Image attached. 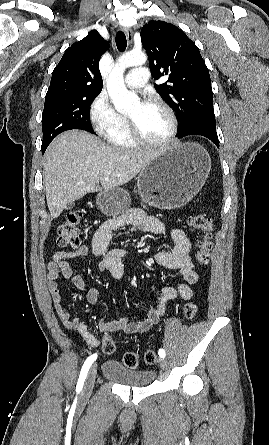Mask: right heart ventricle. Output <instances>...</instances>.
Masks as SVG:
<instances>
[{"mask_svg":"<svg viewBox=\"0 0 269 445\" xmlns=\"http://www.w3.org/2000/svg\"><path fill=\"white\" fill-rule=\"evenodd\" d=\"M104 134L109 143L116 147L131 149L137 146L124 115L118 114L117 121Z\"/></svg>","mask_w":269,"mask_h":445,"instance_id":"e07e8e85","label":"right heart ventricle"}]
</instances>
